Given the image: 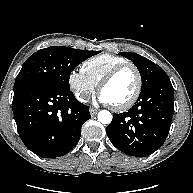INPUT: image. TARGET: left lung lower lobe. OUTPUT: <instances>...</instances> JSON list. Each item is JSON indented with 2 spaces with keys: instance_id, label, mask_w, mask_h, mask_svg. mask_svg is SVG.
<instances>
[{
  "instance_id": "0a47b994",
  "label": "left lung lower lobe",
  "mask_w": 193,
  "mask_h": 193,
  "mask_svg": "<svg viewBox=\"0 0 193 193\" xmlns=\"http://www.w3.org/2000/svg\"><path fill=\"white\" fill-rule=\"evenodd\" d=\"M174 114V89L168 75L141 91L136 104L106 128L111 143L127 155L149 156L166 140Z\"/></svg>"
}]
</instances>
